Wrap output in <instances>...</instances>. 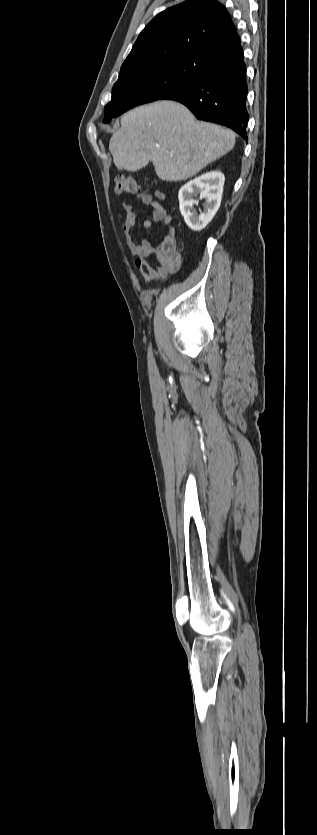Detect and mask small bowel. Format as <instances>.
<instances>
[{
	"label": "small bowel",
	"mask_w": 317,
	"mask_h": 835,
	"mask_svg": "<svg viewBox=\"0 0 317 835\" xmlns=\"http://www.w3.org/2000/svg\"><path fill=\"white\" fill-rule=\"evenodd\" d=\"M155 198L148 193L138 195L140 202L144 206L152 209L151 219H144L142 222V226L145 229H150L154 223L160 222L168 225L172 221L169 212L158 201L165 199V194L162 191H156ZM123 207L126 216L122 231L127 247L131 255L135 258V267L144 274L149 282H163L179 268V255L177 258L168 257L160 248H154L148 239H142L138 242L133 235L134 228L137 224V214L134 212L131 204L126 203ZM152 255L156 258V263L154 264L149 260Z\"/></svg>",
	"instance_id": "small-bowel-1"
}]
</instances>
